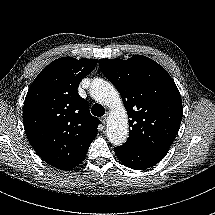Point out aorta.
<instances>
[{
	"instance_id": "1",
	"label": "aorta",
	"mask_w": 215,
	"mask_h": 215,
	"mask_svg": "<svg viewBox=\"0 0 215 215\" xmlns=\"http://www.w3.org/2000/svg\"><path fill=\"white\" fill-rule=\"evenodd\" d=\"M91 95L109 107L112 119L108 122L107 137L115 145L123 144L129 132L128 114L117 89L109 82L98 79L91 86Z\"/></svg>"
}]
</instances>
